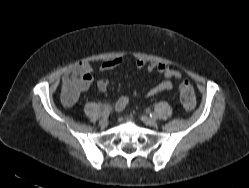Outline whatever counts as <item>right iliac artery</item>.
<instances>
[{
    "label": "right iliac artery",
    "mask_w": 249,
    "mask_h": 188,
    "mask_svg": "<svg viewBox=\"0 0 249 188\" xmlns=\"http://www.w3.org/2000/svg\"><path fill=\"white\" fill-rule=\"evenodd\" d=\"M111 112V107L109 105L105 106L102 112V117L107 118Z\"/></svg>",
    "instance_id": "obj_1"
}]
</instances>
